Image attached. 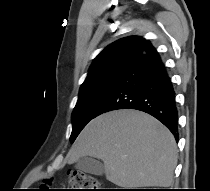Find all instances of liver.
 <instances>
[{
  "label": "liver",
  "mask_w": 210,
  "mask_h": 191,
  "mask_svg": "<svg viewBox=\"0 0 210 191\" xmlns=\"http://www.w3.org/2000/svg\"><path fill=\"white\" fill-rule=\"evenodd\" d=\"M92 156L104 162L107 180L119 187H169L177 164L171 132L154 117L122 109L102 114L83 129L68 164Z\"/></svg>",
  "instance_id": "obj_1"
}]
</instances>
